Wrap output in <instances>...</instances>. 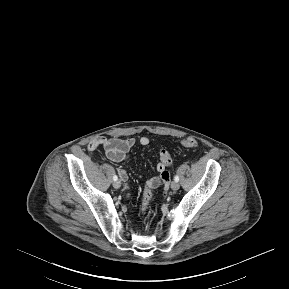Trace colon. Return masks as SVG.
<instances>
[{"mask_svg": "<svg viewBox=\"0 0 289 289\" xmlns=\"http://www.w3.org/2000/svg\"><path fill=\"white\" fill-rule=\"evenodd\" d=\"M181 145L185 148H194L197 145L196 140L193 137H185L181 140ZM172 159L169 152L166 149H162L159 154V163L171 164ZM152 204V192L148 188H144L142 197V209L147 212Z\"/></svg>", "mask_w": 289, "mask_h": 289, "instance_id": "1", "label": "colon"}]
</instances>
